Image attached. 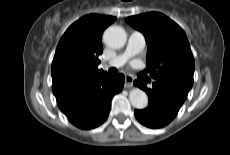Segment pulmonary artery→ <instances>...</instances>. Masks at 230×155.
Masks as SVG:
<instances>
[{"label": "pulmonary artery", "mask_w": 230, "mask_h": 155, "mask_svg": "<svg viewBox=\"0 0 230 155\" xmlns=\"http://www.w3.org/2000/svg\"><path fill=\"white\" fill-rule=\"evenodd\" d=\"M146 41L142 33L133 31L128 39L125 50L105 63L106 67L119 68L131 57L140 53L145 47Z\"/></svg>", "instance_id": "e3ab8cb5"}]
</instances>
